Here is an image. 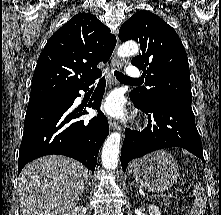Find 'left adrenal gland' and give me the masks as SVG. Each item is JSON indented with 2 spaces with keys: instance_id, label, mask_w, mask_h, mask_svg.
Instances as JSON below:
<instances>
[{
  "instance_id": "a2214340",
  "label": "left adrenal gland",
  "mask_w": 221,
  "mask_h": 215,
  "mask_svg": "<svg viewBox=\"0 0 221 215\" xmlns=\"http://www.w3.org/2000/svg\"><path fill=\"white\" fill-rule=\"evenodd\" d=\"M131 185H135V186H137V185L135 184V182H134V181H132Z\"/></svg>"
}]
</instances>
